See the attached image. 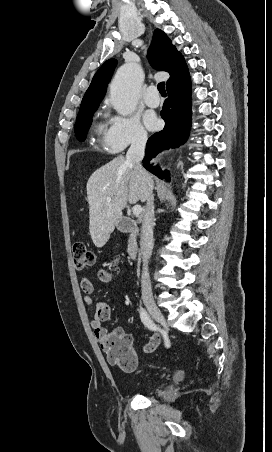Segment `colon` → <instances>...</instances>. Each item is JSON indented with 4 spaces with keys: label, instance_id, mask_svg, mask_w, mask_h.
Listing matches in <instances>:
<instances>
[{
    "label": "colon",
    "instance_id": "1",
    "mask_svg": "<svg viewBox=\"0 0 272 452\" xmlns=\"http://www.w3.org/2000/svg\"><path fill=\"white\" fill-rule=\"evenodd\" d=\"M73 263L76 269H83L94 263V254L83 242H76L72 248ZM107 359L122 370L132 371L137 365L136 354L128 337L112 338L107 344Z\"/></svg>",
    "mask_w": 272,
    "mask_h": 452
}]
</instances>
